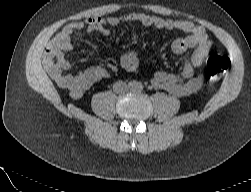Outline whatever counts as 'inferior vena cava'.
<instances>
[{
  "label": "inferior vena cava",
  "instance_id": "1",
  "mask_svg": "<svg viewBox=\"0 0 251 192\" xmlns=\"http://www.w3.org/2000/svg\"><path fill=\"white\" fill-rule=\"evenodd\" d=\"M119 88H120L121 90H123V89L126 88V85H125L124 83H122V82H116V83L114 84V86H113V89H114L115 91H117Z\"/></svg>",
  "mask_w": 251,
  "mask_h": 192
}]
</instances>
